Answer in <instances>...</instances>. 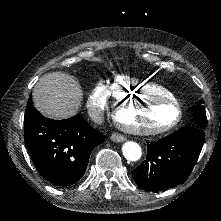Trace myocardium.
I'll return each mask as SVG.
<instances>
[{"label": "myocardium", "mask_w": 221, "mask_h": 221, "mask_svg": "<svg viewBox=\"0 0 221 221\" xmlns=\"http://www.w3.org/2000/svg\"><path fill=\"white\" fill-rule=\"evenodd\" d=\"M154 83V82H153ZM163 85V84H162ZM171 90V89H170ZM172 101L175 104L176 108V114L175 117L171 122L164 126L160 127H152L151 125H138L134 122H129L127 120L122 119L123 113L128 110L129 108L135 107L138 105L139 107L144 106V103L152 104V103H165L170 104ZM109 119L111 121L113 128H119V131L123 135H135L137 132H145V134L150 135L152 133L158 134V133H165L169 132L176 127H178L184 117V107L182 105V102L180 99L172 100L168 98V96H164L162 94H156V95H134L130 98H124L122 99L121 103L116 102L111 107L108 113Z\"/></svg>", "instance_id": "f54148a6"}]
</instances>
